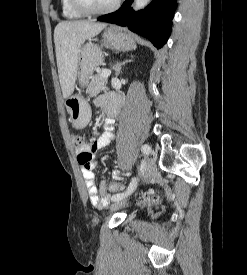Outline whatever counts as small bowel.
Returning a JSON list of instances; mask_svg holds the SVG:
<instances>
[{
    "label": "small bowel",
    "instance_id": "obj_1",
    "mask_svg": "<svg viewBox=\"0 0 247 275\" xmlns=\"http://www.w3.org/2000/svg\"><path fill=\"white\" fill-rule=\"evenodd\" d=\"M100 104L105 106L109 110V117L106 119L105 132L91 144H84L77 150V160L81 167V172L85 180L86 187L90 201L95 206H105L109 203L110 194L107 191L106 185L101 181L98 185L95 183L94 170L97 167V161L94 157L95 153L107 146L114 138L113 128L114 119L113 115L116 114L119 108V98L114 95H108L100 99ZM112 110H115L112 113ZM115 179L119 178L117 171L113 172Z\"/></svg>",
    "mask_w": 247,
    "mask_h": 275
}]
</instances>
